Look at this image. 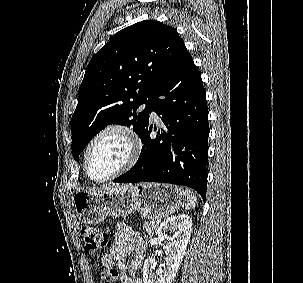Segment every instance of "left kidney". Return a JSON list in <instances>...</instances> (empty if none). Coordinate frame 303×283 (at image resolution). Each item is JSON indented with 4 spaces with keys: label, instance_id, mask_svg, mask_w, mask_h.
Wrapping results in <instances>:
<instances>
[{
    "label": "left kidney",
    "instance_id": "5707ae66",
    "mask_svg": "<svg viewBox=\"0 0 303 283\" xmlns=\"http://www.w3.org/2000/svg\"><path fill=\"white\" fill-rule=\"evenodd\" d=\"M192 221L191 218L182 214L164 220L156 230V247L162 244L164 240H169L165 247L167 255L163 269H158L156 275L152 270L156 267L154 258H147L143 265V282L144 283H172L181 261L184 257L185 250L190 239ZM168 231H173V237H168Z\"/></svg>",
    "mask_w": 303,
    "mask_h": 283
}]
</instances>
